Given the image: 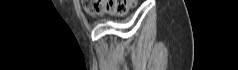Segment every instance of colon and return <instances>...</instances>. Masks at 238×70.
<instances>
[{
  "label": "colon",
  "mask_w": 238,
  "mask_h": 70,
  "mask_svg": "<svg viewBox=\"0 0 238 70\" xmlns=\"http://www.w3.org/2000/svg\"><path fill=\"white\" fill-rule=\"evenodd\" d=\"M130 6L128 0H85V11L90 15L110 14L114 16L124 15Z\"/></svg>",
  "instance_id": "obj_1"
}]
</instances>
